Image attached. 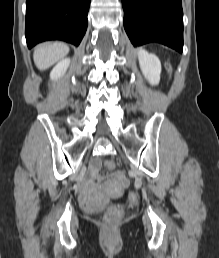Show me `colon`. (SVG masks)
Returning a JSON list of instances; mask_svg holds the SVG:
<instances>
[{"instance_id": "5ec220e1", "label": "colon", "mask_w": 219, "mask_h": 258, "mask_svg": "<svg viewBox=\"0 0 219 258\" xmlns=\"http://www.w3.org/2000/svg\"><path fill=\"white\" fill-rule=\"evenodd\" d=\"M168 68L171 70V65H168ZM106 166L109 169L114 168V164L112 162H107ZM138 199V194L136 192H130L128 194V200L130 202H134ZM122 215V211L118 206H114L109 209V211L105 215V223L108 227H113L114 225L117 224L119 221L120 217Z\"/></svg>"}]
</instances>
